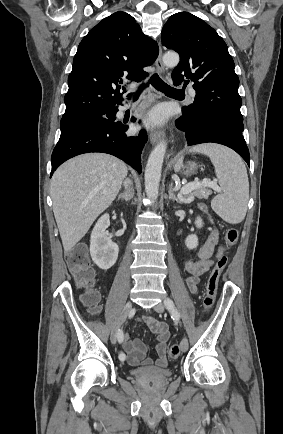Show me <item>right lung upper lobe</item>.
<instances>
[{
  "instance_id": "cb5924a9",
  "label": "right lung upper lobe",
  "mask_w": 283,
  "mask_h": 434,
  "mask_svg": "<svg viewBox=\"0 0 283 434\" xmlns=\"http://www.w3.org/2000/svg\"><path fill=\"white\" fill-rule=\"evenodd\" d=\"M158 53V45L131 15L116 12L103 19L82 39L74 56L62 119L89 118L121 104L122 78L143 79L148 75L143 67L152 65Z\"/></svg>"
}]
</instances>
